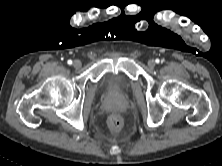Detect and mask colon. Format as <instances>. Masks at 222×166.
<instances>
[{
	"label": "colon",
	"instance_id": "obj_1",
	"mask_svg": "<svg viewBox=\"0 0 222 166\" xmlns=\"http://www.w3.org/2000/svg\"><path fill=\"white\" fill-rule=\"evenodd\" d=\"M108 126L112 131L118 132L123 127V119L120 115L113 114L108 119Z\"/></svg>",
	"mask_w": 222,
	"mask_h": 166
}]
</instances>
